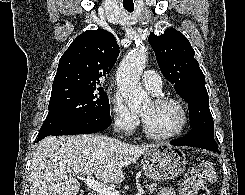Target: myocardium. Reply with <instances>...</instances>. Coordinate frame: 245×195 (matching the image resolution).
Listing matches in <instances>:
<instances>
[{"label":"myocardium","mask_w":245,"mask_h":195,"mask_svg":"<svg viewBox=\"0 0 245 195\" xmlns=\"http://www.w3.org/2000/svg\"><path fill=\"white\" fill-rule=\"evenodd\" d=\"M152 102L156 105H160V104L175 105L181 112L182 121H181L180 126L171 133L155 134L150 131V129L147 127L146 123L144 122L143 118L141 117L142 130L147 137L154 139V140H170V139L180 136L186 131V129L188 128L189 122H190L189 112L186 106L179 99L170 97V96H158L155 99H153Z\"/></svg>","instance_id":"myocardium-1"}]
</instances>
